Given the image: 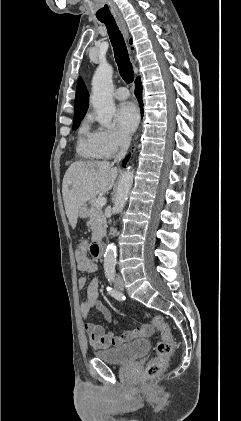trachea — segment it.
I'll use <instances>...</instances> for the list:
<instances>
[{"mask_svg":"<svg viewBox=\"0 0 241 421\" xmlns=\"http://www.w3.org/2000/svg\"><path fill=\"white\" fill-rule=\"evenodd\" d=\"M106 27L113 46L114 56L119 68V73L126 83L134 80L133 67L129 59L124 38L114 19H100Z\"/></svg>","mask_w":241,"mask_h":421,"instance_id":"trachea-1","label":"trachea"}]
</instances>
